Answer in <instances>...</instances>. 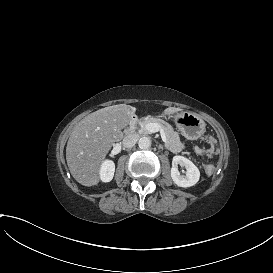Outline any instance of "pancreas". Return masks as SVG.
Returning <instances> with one entry per match:
<instances>
[{
    "label": "pancreas",
    "instance_id": "1",
    "mask_svg": "<svg viewBox=\"0 0 273 273\" xmlns=\"http://www.w3.org/2000/svg\"><path fill=\"white\" fill-rule=\"evenodd\" d=\"M147 123H156L159 125L160 130L164 132L165 137L168 141L167 143H165L166 149H168L169 151H171L174 154H178L184 149L185 145H184V143L181 142L177 132H175L173 130L171 125H169L168 123H166L163 120L155 119L153 117H147V118L141 120L139 123V125H140L139 132L140 133H143V134L148 133V131L144 130V128H143L144 125Z\"/></svg>",
    "mask_w": 273,
    "mask_h": 273
}]
</instances>
